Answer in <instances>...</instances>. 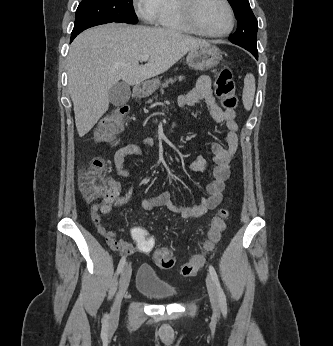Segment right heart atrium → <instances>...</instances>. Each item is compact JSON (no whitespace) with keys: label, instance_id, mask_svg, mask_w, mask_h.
Here are the masks:
<instances>
[{"label":"right heart atrium","instance_id":"right-heart-atrium-1","mask_svg":"<svg viewBox=\"0 0 333 346\" xmlns=\"http://www.w3.org/2000/svg\"><path fill=\"white\" fill-rule=\"evenodd\" d=\"M163 0H133L139 18L148 23H155L161 11Z\"/></svg>","mask_w":333,"mask_h":346}]
</instances>
